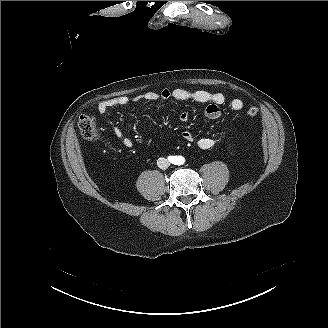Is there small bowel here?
I'll use <instances>...</instances> for the list:
<instances>
[{"instance_id":"obj_1","label":"small bowel","mask_w":328,"mask_h":328,"mask_svg":"<svg viewBox=\"0 0 328 328\" xmlns=\"http://www.w3.org/2000/svg\"><path fill=\"white\" fill-rule=\"evenodd\" d=\"M175 99L178 101H195L199 103H207L204 109V116L208 119H217L221 116V106L228 104L232 111H240L244 107V103L239 98H233L227 101L226 96L221 92H210L206 90H187L183 88L162 89L159 92L147 91L133 98L127 96H119L98 103L97 110L100 114H105L108 110L116 107H124L132 102H154L158 100ZM189 119V113L183 111L179 114V120L186 122ZM114 135L121 141V143L130 148L133 146L131 139L124 136L119 128L114 129ZM182 138L187 142H196L197 146L202 150H208L213 147L214 140L210 137L197 138L195 133L191 130H185L181 134Z\"/></svg>"}]
</instances>
